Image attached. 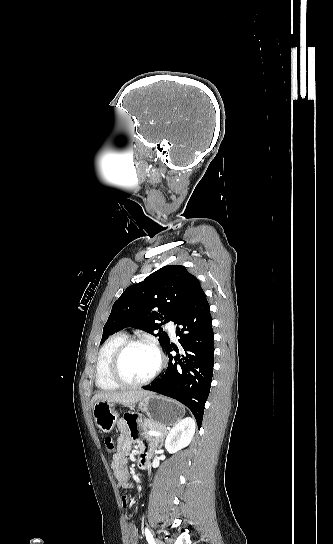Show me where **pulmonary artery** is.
<instances>
[{"mask_svg": "<svg viewBox=\"0 0 333 544\" xmlns=\"http://www.w3.org/2000/svg\"><path fill=\"white\" fill-rule=\"evenodd\" d=\"M167 328H168V331H169V334L172 338H175L176 334H175V325L173 322H169L167 324Z\"/></svg>", "mask_w": 333, "mask_h": 544, "instance_id": "1", "label": "pulmonary artery"}]
</instances>
